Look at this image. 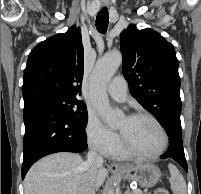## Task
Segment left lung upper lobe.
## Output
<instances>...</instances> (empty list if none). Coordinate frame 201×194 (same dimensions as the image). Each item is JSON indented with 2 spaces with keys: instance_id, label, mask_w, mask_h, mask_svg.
Segmentation results:
<instances>
[{
  "instance_id": "1",
  "label": "left lung upper lobe",
  "mask_w": 201,
  "mask_h": 194,
  "mask_svg": "<svg viewBox=\"0 0 201 194\" xmlns=\"http://www.w3.org/2000/svg\"><path fill=\"white\" fill-rule=\"evenodd\" d=\"M123 74L132 96L163 125L180 119L181 80L173 45L152 29L130 25L121 33Z\"/></svg>"
}]
</instances>
